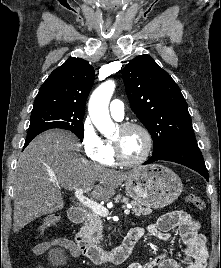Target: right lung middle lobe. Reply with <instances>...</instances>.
<instances>
[{
    "instance_id": "obj_1",
    "label": "right lung middle lobe",
    "mask_w": 221,
    "mask_h": 268,
    "mask_svg": "<svg viewBox=\"0 0 221 268\" xmlns=\"http://www.w3.org/2000/svg\"><path fill=\"white\" fill-rule=\"evenodd\" d=\"M84 113L63 109H45L32 111L27 136H36L53 128L66 129L73 132L82 141Z\"/></svg>"
}]
</instances>
